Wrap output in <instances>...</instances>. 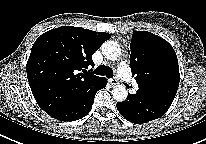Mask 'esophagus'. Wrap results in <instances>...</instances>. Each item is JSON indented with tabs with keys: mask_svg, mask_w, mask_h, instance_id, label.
I'll use <instances>...</instances> for the list:
<instances>
[{
	"mask_svg": "<svg viewBox=\"0 0 206 144\" xmlns=\"http://www.w3.org/2000/svg\"><path fill=\"white\" fill-rule=\"evenodd\" d=\"M109 83L111 85H116L118 83V80L116 78H111V79H109Z\"/></svg>",
	"mask_w": 206,
	"mask_h": 144,
	"instance_id": "1",
	"label": "esophagus"
}]
</instances>
